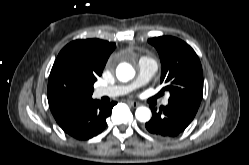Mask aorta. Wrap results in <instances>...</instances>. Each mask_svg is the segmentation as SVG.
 Masks as SVG:
<instances>
[{"label":"aorta","instance_id":"1","mask_svg":"<svg viewBox=\"0 0 249 165\" xmlns=\"http://www.w3.org/2000/svg\"><path fill=\"white\" fill-rule=\"evenodd\" d=\"M135 75V70L132 65L122 63L117 67L116 76L122 82L131 80ZM136 119L140 122H147L151 118V111L147 107H138L135 112Z\"/></svg>","mask_w":249,"mask_h":165}]
</instances>
